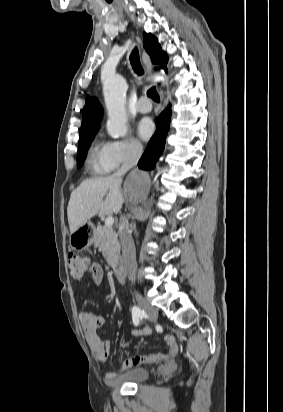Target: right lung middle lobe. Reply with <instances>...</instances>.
Here are the masks:
<instances>
[{
  "instance_id": "1",
  "label": "right lung middle lobe",
  "mask_w": 283,
  "mask_h": 412,
  "mask_svg": "<svg viewBox=\"0 0 283 412\" xmlns=\"http://www.w3.org/2000/svg\"><path fill=\"white\" fill-rule=\"evenodd\" d=\"M96 132L84 135L79 138L78 152H77V167L79 168L84 162L87 154V150L90 147L91 141L93 140Z\"/></svg>"
}]
</instances>
